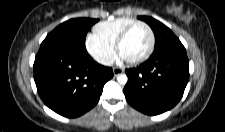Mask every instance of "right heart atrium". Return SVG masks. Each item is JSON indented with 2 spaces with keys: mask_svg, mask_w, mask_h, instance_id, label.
I'll use <instances>...</instances> for the list:
<instances>
[{
  "mask_svg": "<svg viewBox=\"0 0 225 132\" xmlns=\"http://www.w3.org/2000/svg\"><path fill=\"white\" fill-rule=\"evenodd\" d=\"M85 46L90 56L99 64L108 66L114 61V46L99 40L95 35L87 36Z\"/></svg>",
  "mask_w": 225,
  "mask_h": 132,
  "instance_id": "1",
  "label": "right heart atrium"
}]
</instances>
